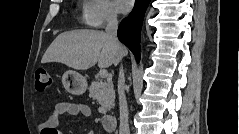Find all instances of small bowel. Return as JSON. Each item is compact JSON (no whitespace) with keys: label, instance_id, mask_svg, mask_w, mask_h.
<instances>
[{"label":"small bowel","instance_id":"c3829d8e","mask_svg":"<svg viewBox=\"0 0 239 134\" xmlns=\"http://www.w3.org/2000/svg\"><path fill=\"white\" fill-rule=\"evenodd\" d=\"M82 115L84 117L91 116V108L79 102L61 101L54 108L53 113L47 120L40 124L42 134H58L57 125L60 115Z\"/></svg>","mask_w":239,"mask_h":134}]
</instances>
